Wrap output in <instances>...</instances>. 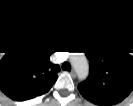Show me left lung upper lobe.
Returning <instances> with one entry per match:
<instances>
[{
  "instance_id": "left-lung-upper-lobe-1",
  "label": "left lung upper lobe",
  "mask_w": 133,
  "mask_h": 106,
  "mask_svg": "<svg viewBox=\"0 0 133 106\" xmlns=\"http://www.w3.org/2000/svg\"><path fill=\"white\" fill-rule=\"evenodd\" d=\"M90 61L88 78L78 85L87 100L97 105H115L133 90V58L121 46L94 39L82 46Z\"/></svg>"
}]
</instances>
